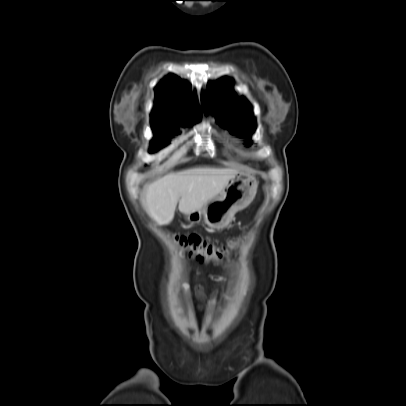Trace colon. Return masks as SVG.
<instances>
[{
  "mask_svg": "<svg viewBox=\"0 0 406 406\" xmlns=\"http://www.w3.org/2000/svg\"><path fill=\"white\" fill-rule=\"evenodd\" d=\"M176 240L191 258L200 263L220 264L227 250L236 245V240H230L226 245H215L196 234L179 235Z\"/></svg>",
  "mask_w": 406,
  "mask_h": 406,
  "instance_id": "1",
  "label": "colon"
}]
</instances>
